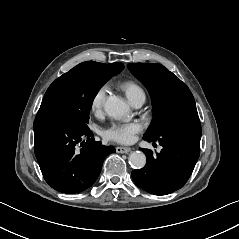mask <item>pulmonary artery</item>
Segmentation results:
<instances>
[{
    "label": "pulmonary artery",
    "mask_w": 239,
    "mask_h": 239,
    "mask_svg": "<svg viewBox=\"0 0 239 239\" xmlns=\"http://www.w3.org/2000/svg\"><path fill=\"white\" fill-rule=\"evenodd\" d=\"M129 99L134 107H140L145 102V93L144 91H138L133 95L129 96Z\"/></svg>",
    "instance_id": "pulmonary-artery-1"
}]
</instances>
